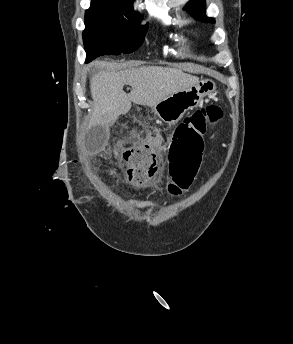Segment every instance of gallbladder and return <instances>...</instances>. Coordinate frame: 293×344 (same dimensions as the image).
Masks as SVG:
<instances>
[{"instance_id": "bac80fb5", "label": "gallbladder", "mask_w": 293, "mask_h": 344, "mask_svg": "<svg viewBox=\"0 0 293 344\" xmlns=\"http://www.w3.org/2000/svg\"><path fill=\"white\" fill-rule=\"evenodd\" d=\"M108 130L104 126H93L85 136V146L89 152L100 150L108 139Z\"/></svg>"}]
</instances>
